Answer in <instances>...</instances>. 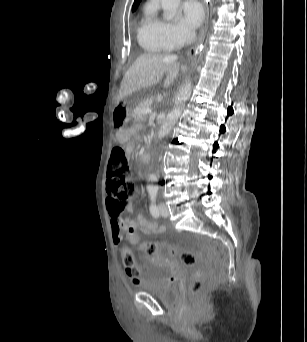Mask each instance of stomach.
Instances as JSON below:
<instances>
[{"label": "stomach", "instance_id": "1", "mask_svg": "<svg viewBox=\"0 0 307 342\" xmlns=\"http://www.w3.org/2000/svg\"><path fill=\"white\" fill-rule=\"evenodd\" d=\"M131 110L127 107H116L113 110V121L119 126V128L124 129L127 123L130 121Z\"/></svg>", "mask_w": 307, "mask_h": 342}]
</instances>
